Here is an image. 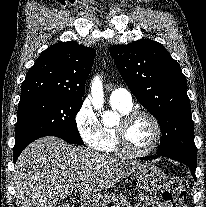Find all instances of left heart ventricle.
Segmentation results:
<instances>
[{"mask_svg":"<svg viewBox=\"0 0 206 207\" xmlns=\"http://www.w3.org/2000/svg\"><path fill=\"white\" fill-rule=\"evenodd\" d=\"M154 135V127L146 117L136 118L126 129L128 145L136 151L148 148L154 139Z\"/></svg>","mask_w":206,"mask_h":207,"instance_id":"left-heart-ventricle-1","label":"left heart ventricle"}]
</instances>
